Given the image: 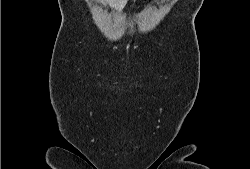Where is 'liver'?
Segmentation results:
<instances>
[{
	"instance_id": "6515ba94",
	"label": "liver",
	"mask_w": 250,
	"mask_h": 169,
	"mask_svg": "<svg viewBox=\"0 0 250 169\" xmlns=\"http://www.w3.org/2000/svg\"><path fill=\"white\" fill-rule=\"evenodd\" d=\"M103 2V0H102ZM109 6H112V8H123L125 6L127 0H105Z\"/></svg>"
}]
</instances>
